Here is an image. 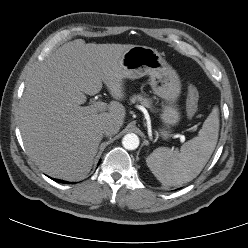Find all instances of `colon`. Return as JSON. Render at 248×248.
<instances>
[{
	"mask_svg": "<svg viewBox=\"0 0 248 248\" xmlns=\"http://www.w3.org/2000/svg\"><path fill=\"white\" fill-rule=\"evenodd\" d=\"M199 94L195 86L189 85L186 98V112L189 117L195 115L198 110Z\"/></svg>",
	"mask_w": 248,
	"mask_h": 248,
	"instance_id": "5ec220e1",
	"label": "colon"
}]
</instances>
